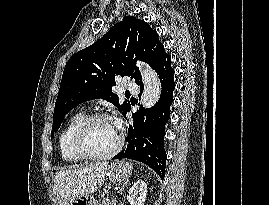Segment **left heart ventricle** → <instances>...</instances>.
<instances>
[{
	"label": "left heart ventricle",
	"mask_w": 269,
	"mask_h": 205,
	"mask_svg": "<svg viewBox=\"0 0 269 205\" xmlns=\"http://www.w3.org/2000/svg\"><path fill=\"white\" fill-rule=\"evenodd\" d=\"M118 131L112 121L99 120L93 123L85 133L84 146L93 154H104L114 148Z\"/></svg>",
	"instance_id": "1"
}]
</instances>
